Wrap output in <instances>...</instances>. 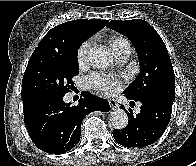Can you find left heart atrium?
<instances>
[{
  "label": "left heart atrium",
  "mask_w": 196,
  "mask_h": 166,
  "mask_svg": "<svg viewBox=\"0 0 196 166\" xmlns=\"http://www.w3.org/2000/svg\"><path fill=\"white\" fill-rule=\"evenodd\" d=\"M86 85L90 89L113 94L120 90L122 83L113 75L94 72L86 78Z\"/></svg>",
  "instance_id": "1"
}]
</instances>
